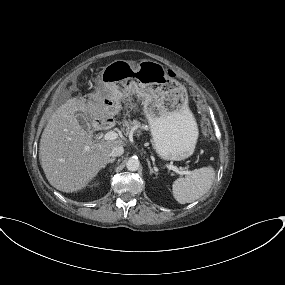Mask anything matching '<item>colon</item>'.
I'll list each match as a JSON object with an SVG mask.
<instances>
[{
  "label": "colon",
  "mask_w": 285,
  "mask_h": 285,
  "mask_svg": "<svg viewBox=\"0 0 285 285\" xmlns=\"http://www.w3.org/2000/svg\"><path fill=\"white\" fill-rule=\"evenodd\" d=\"M196 97L199 99V101H200V104H202V100H201V97H200V95H199L198 93H196Z\"/></svg>",
  "instance_id": "obj_1"
}]
</instances>
